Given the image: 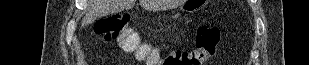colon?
Instances as JSON below:
<instances>
[{
    "label": "colon",
    "instance_id": "5ec220e1",
    "mask_svg": "<svg viewBox=\"0 0 309 65\" xmlns=\"http://www.w3.org/2000/svg\"><path fill=\"white\" fill-rule=\"evenodd\" d=\"M128 14L103 17L95 24V33L104 41H117L122 50L132 52L147 65H202L216 52L221 33L218 27L203 25L197 29L195 47L191 50L175 49L162 57L160 52L142 42L130 27Z\"/></svg>",
    "mask_w": 309,
    "mask_h": 65
}]
</instances>
